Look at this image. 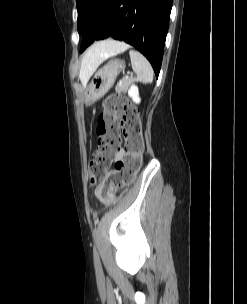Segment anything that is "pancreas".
<instances>
[{"label":"pancreas","mask_w":247,"mask_h":304,"mask_svg":"<svg viewBox=\"0 0 247 304\" xmlns=\"http://www.w3.org/2000/svg\"><path fill=\"white\" fill-rule=\"evenodd\" d=\"M132 79L124 78L122 81L116 86L115 90L118 93H124L128 86L130 85Z\"/></svg>","instance_id":"1"}]
</instances>
